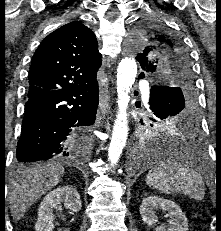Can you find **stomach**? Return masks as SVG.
Returning a JSON list of instances; mask_svg holds the SVG:
<instances>
[{
	"instance_id": "1",
	"label": "stomach",
	"mask_w": 221,
	"mask_h": 231,
	"mask_svg": "<svg viewBox=\"0 0 221 231\" xmlns=\"http://www.w3.org/2000/svg\"><path fill=\"white\" fill-rule=\"evenodd\" d=\"M166 130H168V131H165L164 133H169L171 130H177V125L176 126L169 125L166 127Z\"/></svg>"
}]
</instances>
